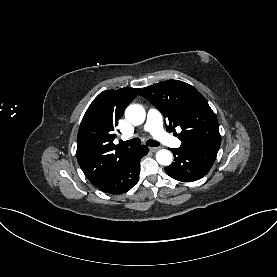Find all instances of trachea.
Masks as SVG:
<instances>
[{"mask_svg": "<svg viewBox=\"0 0 277 277\" xmlns=\"http://www.w3.org/2000/svg\"><path fill=\"white\" fill-rule=\"evenodd\" d=\"M123 145H126V146H131V147H134V146H138L141 144V141L138 139V138H134V139H131L129 141H122L121 142ZM146 144L148 146H152V147H156V146H159L160 143L157 142V141H154V140H147Z\"/></svg>", "mask_w": 277, "mask_h": 277, "instance_id": "obj_1", "label": "trachea"}]
</instances>
